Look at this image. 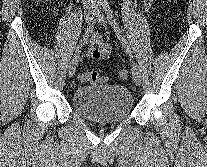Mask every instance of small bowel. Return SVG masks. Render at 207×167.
<instances>
[{"label":"small bowel","instance_id":"obj_1","mask_svg":"<svg viewBox=\"0 0 207 167\" xmlns=\"http://www.w3.org/2000/svg\"><path fill=\"white\" fill-rule=\"evenodd\" d=\"M156 0H144V8L150 10ZM111 54V46L105 43L98 33L90 35L87 45V57L94 60H106Z\"/></svg>","mask_w":207,"mask_h":167}]
</instances>
